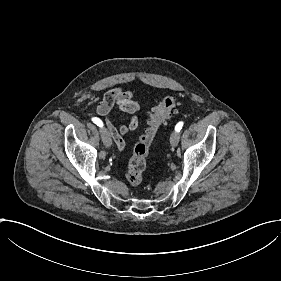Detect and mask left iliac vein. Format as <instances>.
<instances>
[{"label":"left iliac vein","mask_w":281,"mask_h":281,"mask_svg":"<svg viewBox=\"0 0 281 281\" xmlns=\"http://www.w3.org/2000/svg\"><path fill=\"white\" fill-rule=\"evenodd\" d=\"M171 147L175 148L179 144V133L176 131H172V135L170 136Z\"/></svg>","instance_id":"obj_1"}]
</instances>
